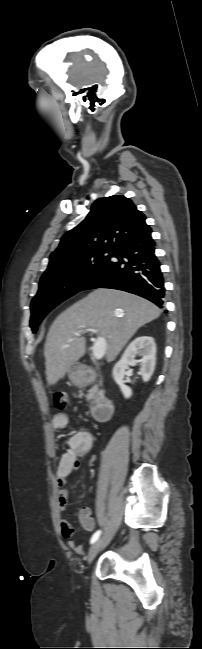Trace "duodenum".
<instances>
[{
  "mask_svg": "<svg viewBox=\"0 0 202 649\" xmlns=\"http://www.w3.org/2000/svg\"><path fill=\"white\" fill-rule=\"evenodd\" d=\"M96 377V372L89 366H83L79 370V378L83 381H95ZM113 411V402L107 397L99 399L92 408L93 416L99 421H108L111 418Z\"/></svg>",
  "mask_w": 202,
  "mask_h": 649,
  "instance_id": "duodenum-1",
  "label": "duodenum"
}]
</instances>
